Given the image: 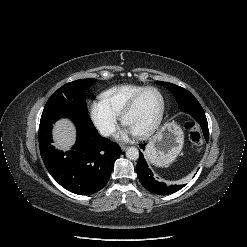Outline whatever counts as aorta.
<instances>
[{"instance_id":"762f6f07","label":"aorta","mask_w":247,"mask_h":247,"mask_svg":"<svg viewBox=\"0 0 247 247\" xmlns=\"http://www.w3.org/2000/svg\"><path fill=\"white\" fill-rule=\"evenodd\" d=\"M126 157L130 160H137L139 158V150L136 147H130L126 151Z\"/></svg>"}]
</instances>
